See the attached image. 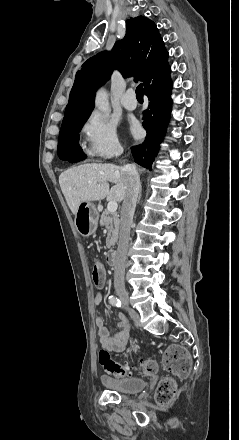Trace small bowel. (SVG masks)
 Listing matches in <instances>:
<instances>
[{"mask_svg":"<svg viewBox=\"0 0 239 440\" xmlns=\"http://www.w3.org/2000/svg\"><path fill=\"white\" fill-rule=\"evenodd\" d=\"M103 294L101 291H96L94 294V302L99 305L102 302ZM97 334L102 349L108 352L123 351L128 343L129 338V323L125 315L118 314L117 326L119 331L111 335L105 327V321L102 317H97L95 320Z\"/></svg>","mask_w":239,"mask_h":440,"instance_id":"obj_1","label":"small bowel"}]
</instances>
